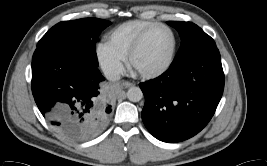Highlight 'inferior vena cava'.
Here are the masks:
<instances>
[{"instance_id":"inferior-vena-cava-1","label":"inferior vena cava","mask_w":267,"mask_h":166,"mask_svg":"<svg viewBox=\"0 0 267 166\" xmlns=\"http://www.w3.org/2000/svg\"><path fill=\"white\" fill-rule=\"evenodd\" d=\"M103 72L105 77L110 81L119 80L121 77L120 72L114 67H106Z\"/></svg>"}]
</instances>
